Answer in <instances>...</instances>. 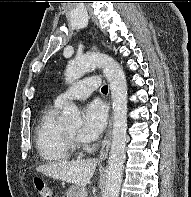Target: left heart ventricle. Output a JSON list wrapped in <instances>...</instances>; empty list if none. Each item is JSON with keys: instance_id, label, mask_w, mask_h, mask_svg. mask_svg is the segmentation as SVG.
<instances>
[{"instance_id": "left-heart-ventricle-1", "label": "left heart ventricle", "mask_w": 191, "mask_h": 197, "mask_svg": "<svg viewBox=\"0 0 191 197\" xmlns=\"http://www.w3.org/2000/svg\"><path fill=\"white\" fill-rule=\"evenodd\" d=\"M66 131L72 135H76L78 132V128H70V129H67Z\"/></svg>"}]
</instances>
